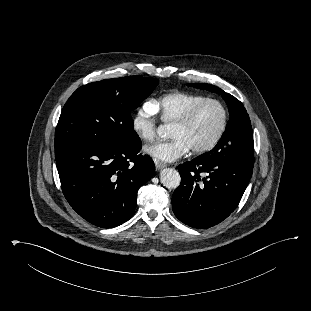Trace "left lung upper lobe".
<instances>
[{
    "label": "left lung upper lobe",
    "mask_w": 311,
    "mask_h": 311,
    "mask_svg": "<svg viewBox=\"0 0 311 311\" xmlns=\"http://www.w3.org/2000/svg\"><path fill=\"white\" fill-rule=\"evenodd\" d=\"M189 86L221 94L226 101L230 119L217 145L203 157L220 158L232 154L254 155V141L251 122L243 104L234 96L210 84H189Z\"/></svg>",
    "instance_id": "5c2ea615"
}]
</instances>
